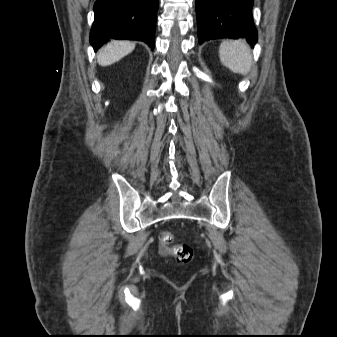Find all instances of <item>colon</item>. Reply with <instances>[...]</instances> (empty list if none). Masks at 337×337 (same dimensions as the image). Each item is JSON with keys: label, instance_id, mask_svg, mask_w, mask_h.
I'll list each match as a JSON object with an SVG mask.
<instances>
[{"label": "colon", "instance_id": "obj_1", "mask_svg": "<svg viewBox=\"0 0 337 337\" xmlns=\"http://www.w3.org/2000/svg\"><path fill=\"white\" fill-rule=\"evenodd\" d=\"M158 241L161 251L173 254L178 261L186 262L192 258L191 247L187 244H173L174 237L170 231H161Z\"/></svg>", "mask_w": 337, "mask_h": 337}]
</instances>
